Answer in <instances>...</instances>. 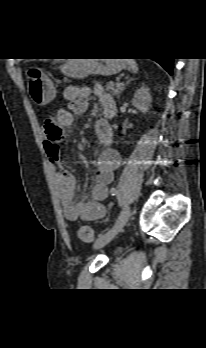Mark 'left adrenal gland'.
Masks as SVG:
<instances>
[{
  "mask_svg": "<svg viewBox=\"0 0 206 348\" xmlns=\"http://www.w3.org/2000/svg\"><path fill=\"white\" fill-rule=\"evenodd\" d=\"M132 80H133V78H130V79H128V80L126 81V84L123 85V86L121 87V92L125 89V86H126L127 84H129V82L132 81Z\"/></svg>",
  "mask_w": 206,
  "mask_h": 348,
  "instance_id": "1",
  "label": "left adrenal gland"
}]
</instances>
